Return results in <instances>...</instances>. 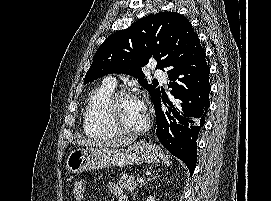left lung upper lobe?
<instances>
[{
  "instance_id": "left-lung-upper-lobe-1",
  "label": "left lung upper lobe",
  "mask_w": 271,
  "mask_h": 201,
  "mask_svg": "<svg viewBox=\"0 0 271 201\" xmlns=\"http://www.w3.org/2000/svg\"><path fill=\"white\" fill-rule=\"evenodd\" d=\"M197 37L191 23L176 12H161L143 17L127 29L109 36L95 53L84 84L111 73L138 78L153 99L160 90L148 84L141 69L150 58L157 60L156 69L168 68L179 41Z\"/></svg>"
}]
</instances>
